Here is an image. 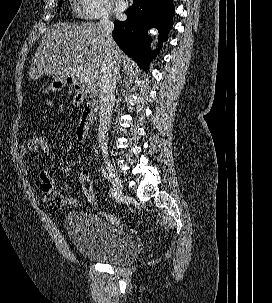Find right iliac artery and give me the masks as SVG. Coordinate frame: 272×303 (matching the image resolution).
<instances>
[{"label":"right iliac artery","mask_w":272,"mask_h":303,"mask_svg":"<svg viewBox=\"0 0 272 303\" xmlns=\"http://www.w3.org/2000/svg\"><path fill=\"white\" fill-rule=\"evenodd\" d=\"M100 170H101L103 176L109 181V178L107 176V173H106L105 169L101 168ZM109 194H110V197H112L113 199L117 200L116 193H115L113 187H111V186H110Z\"/></svg>","instance_id":"1"}]
</instances>
